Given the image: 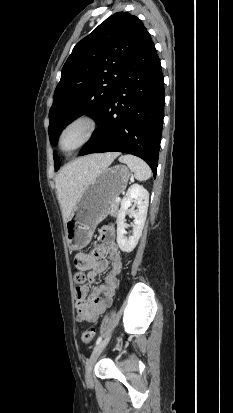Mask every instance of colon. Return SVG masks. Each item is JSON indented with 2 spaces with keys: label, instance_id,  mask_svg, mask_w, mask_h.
Masks as SVG:
<instances>
[{
  "label": "colon",
  "instance_id": "1",
  "mask_svg": "<svg viewBox=\"0 0 233 413\" xmlns=\"http://www.w3.org/2000/svg\"><path fill=\"white\" fill-rule=\"evenodd\" d=\"M75 272H74V283L76 284L77 288L81 287L87 280V275L84 271L80 268L78 262H75ZM95 335L94 329H89L83 332L82 334V341L84 344H89Z\"/></svg>",
  "mask_w": 233,
  "mask_h": 413
}]
</instances>
